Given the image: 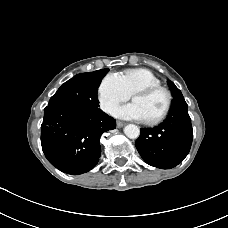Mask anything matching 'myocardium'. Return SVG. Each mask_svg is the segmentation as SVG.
Listing matches in <instances>:
<instances>
[{"label":"myocardium","mask_w":228,"mask_h":228,"mask_svg":"<svg viewBox=\"0 0 228 228\" xmlns=\"http://www.w3.org/2000/svg\"><path fill=\"white\" fill-rule=\"evenodd\" d=\"M156 92H163L166 96V104L163 109V111L156 116L155 118L152 119H146L144 120V123L147 125H155L161 122L166 118L168 113L170 112L171 106H172V101L173 97L169 89L166 87H163L161 85L158 86H147V87H142L140 89H137L131 94V98L133 99L135 96H148Z\"/></svg>","instance_id":"f54148a6"}]
</instances>
